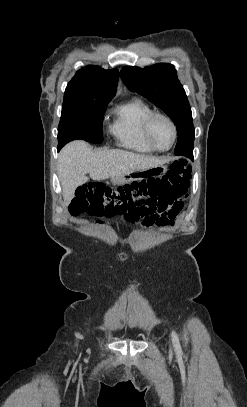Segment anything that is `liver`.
Segmentation results:
<instances>
[{"instance_id":"6515ba94","label":"liver","mask_w":247,"mask_h":407,"mask_svg":"<svg viewBox=\"0 0 247 407\" xmlns=\"http://www.w3.org/2000/svg\"><path fill=\"white\" fill-rule=\"evenodd\" d=\"M164 157L146 156L124 150L95 151L84 141L67 144L58 159V176L63 189L64 203L67 206L74 197L78 186L86 183L89 173L93 180L147 170L167 163Z\"/></svg>"}]
</instances>
